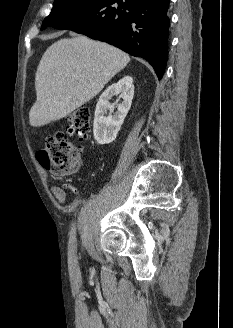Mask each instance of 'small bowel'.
Here are the masks:
<instances>
[{"label":"small bowel","instance_id":"obj_1","mask_svg":"<svg viewBox=\"0 0 233 328\" xmlns=\"http://www.w3.org/2000/svg\"><path fill=\"white\" fill-rule=\"evenodd\" d=\"M54 197L60 202L64 203L66 199L65 192L61 188H53L52 189Z\"/></svg>","mask_w":233,"mask_h":328}]
</instances>
